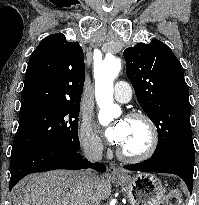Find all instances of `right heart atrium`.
Returning a JSON list of instances; mask_svg holds the SVG:
<instances>
[{
    "label": "right heart atrium",
    "mask_w": 199,
    "mask_h": 205,
    "mask_svg": "<svg viewBox=\"0 0 199 205\" xmlns=\"http://www.w3.org/2000/svg\"><path fill=\"white\" fill-rule=\"evenodd\" d=\"M79 142L86 155L92 158L101 156L103 145L99 136L92 129L88 119H84L79 128Z\"/></svg>",
    "instance_id": "obj_1"
}]
</instances>
